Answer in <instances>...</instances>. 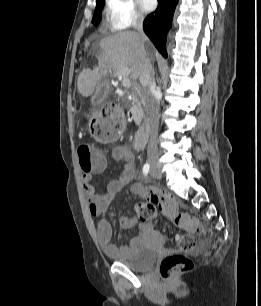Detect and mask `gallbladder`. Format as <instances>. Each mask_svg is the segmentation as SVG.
Segmentation results:
<instances>
[{
  "mask_svg": "<svg viewBox=\"0 0 261 306\" xmlns=\"http://www.w3.org/2000/svg\"><path fill=\"white\" fill-rule=\"evenodd\" d=\"M107 92H108L107 86L104 83L100 84L93 96V101L95 103L102 101L106 97Z\"/></svg>",
  "mask_w": 261,
  "mask_h": 306,
  "instance_id": "gallbladder-1",
  "label": "gallbladder"
}]
</instances>
